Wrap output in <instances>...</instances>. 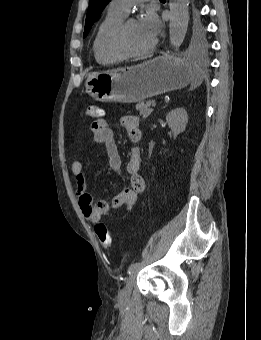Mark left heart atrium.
Returning <instances> with one entry per match:
<instances>
[{
    "label": "left heart atrium",
    "instance_id": "obj_1",
    "mask_svg": "<svg viewBox=\"0 0 261 340\" xmlns=\"http://www.w3.org/2000/svg\"><path fill=\"white\" fill-rule=\"evenodd\" d=\"M139 25L146 34L155 39L160 31L161 23L157 14L149 10L141 18Z\"/></svg>",
    "mask_w": 261,
    "mask_h": 340
}]
</instances>
